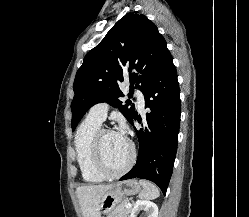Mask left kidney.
I'll list each match as a JSON object with an SVG mask.
<instances>
[{"instance_id":"obj_1","label":"left kidney","mask_w":249,"mask_h":217,"mask_svg":"<svg viewBox=\"0 0 249 217\" xmlns=\"http://www.w3.org/2000/svg\"><path fill=\"white\" fill-rule=\"evenodd\" d=\"M140 210H144L147 217H158V206L149 200H137L131 211L130 217H136Z\"/></svg>"}]
</instances>
